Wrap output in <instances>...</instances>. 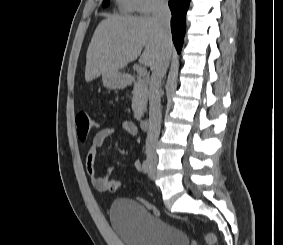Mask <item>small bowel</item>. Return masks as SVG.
<instances>
[{"mask_svg": "<svg viewBox=\"0 0 283 245\" xmlns=\"http://www.w3.org/2000/svg\"><path fill=\"white\" fill-rule=\"evenodd\" d=\"M120 126L125 132L129 133L132 136H135L138 133L136 125L129 120L121 121ZM115 132L116 129L114 127H106L99 130L93 137L86 153L85 166L89 181L91 185L101 193L109 192V182L111 180L110 174L112 172V167L108 166L104 175H98L95 169L96 155L98 149L101 148L104 141L108 137L114 135ZM134 167L139 172L143 171L142 164L139 160L135 161Z\"/></svg>", "mask_w": 283, "mask_h": 245, "instance_id": "obj_1", "label": "small bowel"}]
</instances>
